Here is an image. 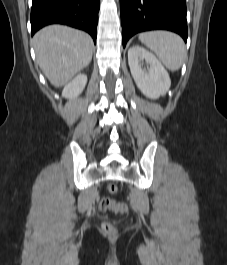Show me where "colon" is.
I'll use <instances>...</instances> for the list:
<instances>
[{
  "label": "colon",
  "instance_id": "5ec220e1",
  "mask_svg": "<svg viewBox=\"0 0 227 265\" xmlns=\"http://www.w3.org/2000/svg\"><path fill=\"white\" fill-rule=\"evenodd\" d=\"M107 191L110 194H115L117 192V186L114 183H109L107 185ZM99 209L102 212L106 211H114L117 213L124 214L128 211L127 205L124 203H117L114 200L103 198L99 203ZM102 230L107 234H114L116 232V228L113 224L109 222H104L102 224Z\"/></svg>",
  "mask_w": 227,
  "mask_h": 265
}]
</instances>
